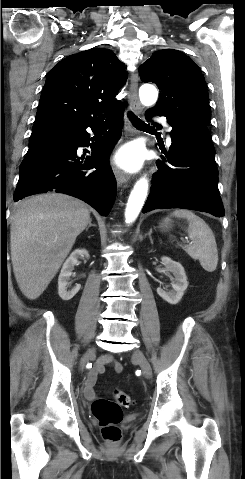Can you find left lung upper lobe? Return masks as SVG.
I'll return each mask as SVG.
<instances>
[{
  "mask_svg": "<svg viewBox=\"0 0 245 479\" xmlns=\"http://www.w3.org/2000/svg\"><path fill=\"white\" fill-rule=\"evenodd\" d=\"M139 73L143 82H154L160 89L158 103L151 110L179 125H209L206 83L190 57L174 49L159 50L139 67Z\"/></svg>",
  "mask_w": 245,
  "mask_h": 479,
  "instance_id": "5c2ea615",
  "label": "left lung upper lobe"
}]
</instances>
